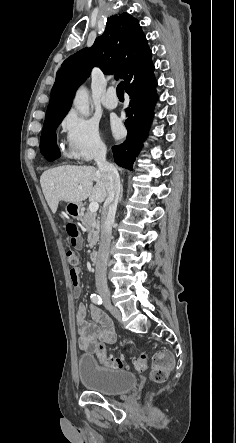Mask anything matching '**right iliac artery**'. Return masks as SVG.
<instances>
[{
  "label": "right iliac artery",
  "mask_w": 236,
  "mask_h": 443,
  "mask_svg": "<svg viewBox=\"0 0 236 443\" xmlns=\"http://www.w3.org/2000/svg\"><path fill=\"white\" fill-rule=\"evenodd\" d=\"M91 301L93 302V303H95V304H102V299H101V297L99 296V295H97V294H92L91 295Z\"/></svg>",
  "instance_id": "obj_1"
}]
</instances>
